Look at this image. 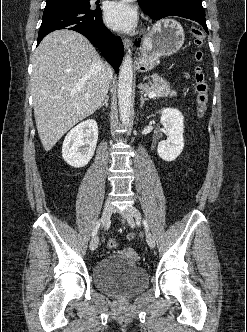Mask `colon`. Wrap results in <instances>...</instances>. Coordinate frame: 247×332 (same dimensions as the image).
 I'll list each match as a JSON object with an SVG mask.
<instances>
[{
	"instance_id": "5ec220e1",
	"label": "colon",
	"mask_w": 247,
	"mask_h": 332,
	"mask_svg": "<svg viewBox=\"0 0 247 332\" xmlns=\"http://www.w3.org/2000/svg\"><path fill=\"white\" fill-rule=\"evenodd\" d=\"M191 33L194 39V43L197 46V51L195 53V59L198 63H200L203 59V51L202 47L205 43V32L200 28H192ZM194 82H195V104L197 114L199 116H203L206 111L208 98H209V87L206 81V77L204 71L200 65L195 67L194 71ZM129 238H133V235L130 234ZM107 247L109 249H115L117 247V242L110 238L107 240Z\"/></svg>"
}]
</instances>
